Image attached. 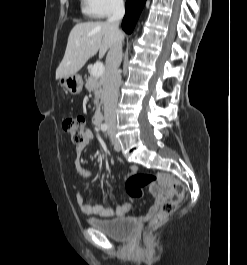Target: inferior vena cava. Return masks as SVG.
I'll list each match as a JSON object with an SVG mask.
<instances>
[{
  "instance_id": "1",
  "label": "inferior vena cava",
  "mask_w": 247,
  "mask_h": 265,
  "mask_svg": "<svg viewBox=\"0 0 247 265\" xmlns=\"http://www.w3.org/2000/svg\"><path fill=\"white\" fill-rule=\"evenodd\" d=\"M125 13L123 0H114L112 13L107 22L119 32V22ZM122 40L120 36L109 49L106 57L104 117L110 129L116 127L115 109L118 101L121 75L119 66L122 61Z\"/></svg>"
}]
</instances>
